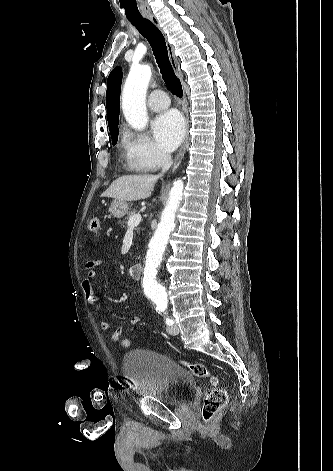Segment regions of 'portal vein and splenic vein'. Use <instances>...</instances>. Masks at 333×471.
<instances>
[{
	"label": "portal vein and splenic vein",
	"mask_w": 333,
	"mask_h": 471,
	"mask_svg": "<svg viewBox=\"0 0 333 471\" xmlns=\"http://www.w3.org/2000/svg\"><path fill=\"white\" fill-rule=\"evenodd\" d=\"M141 215L139 213L137 214H134L133 216H131L128 220V225L130 226H138L141 222Z\"/></svg>",
	"instance_id": "1"
}]
</instances>
